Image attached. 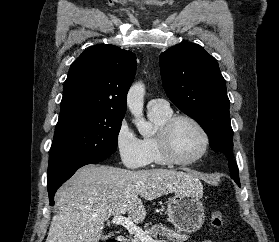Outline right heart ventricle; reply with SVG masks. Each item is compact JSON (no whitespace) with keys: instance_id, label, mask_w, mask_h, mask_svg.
<instances>
[{"instance_id":"e07e8e85","label":"right heart ventricle","mask_w":279,"mask_h":242,"mask_svg":"<svg viewBox=\"0 0 279 242\" xmlns=\"http://www.w3.org/2000/svg\"><path fill=\"white\" fill-rule=\"evenodd\" d=\"M149 119L154 127V133L149 136H145L142 140L145 150L147 152L149 162L158 165H167L168 163L163 158L158 142L157 133L162 125L172 116V110L168 109H149L148 113Z\"/></svg>"}]
</instances>
